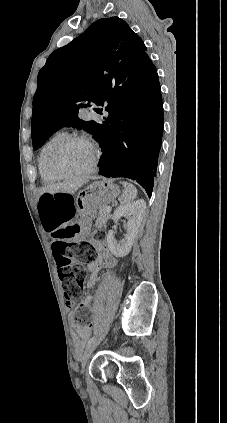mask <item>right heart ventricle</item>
Returning a JSON list of instances; mask_svg holds the SVG:
<instances>
[{
	"instance_id": "right-heart-ventricle-1",
	"label": "right heart ventricle",
	"mask_w": 227,
	"mask_h": 423,
	"mask_svg": "<svg viewBox=\"0 0 227 423\" xmlns=\"http://www.w3.org/2000/svg\"><path fill=\"white\" fill-rule=\"evenodd\" d=\"M65 136H67L65 132H56L40 148L37 157V165L41 180L45 184H53L60 181L61 179L48 168L46 157L51 147Z\"/></svg>"
}]
</instances>
